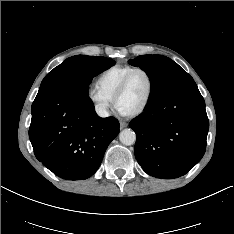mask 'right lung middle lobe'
<instances>
[{"mask_svg": "<svg viewBox=\"0 0 234 234\" xmlns=\"http://www.w3.org/2000/svg\"><path fill=\"white\" fill-rule=\"evenodd\" d=\"M114 64V60L102 56H72L49 72L43 79L41 86L69 79L73 85L87 94V88L93 77Z\"/></svg>", "mask_w": 234, "mask_h": 234, "instance_id": "obj_1", "label": "right lung middle lobe"}]
</instances>
